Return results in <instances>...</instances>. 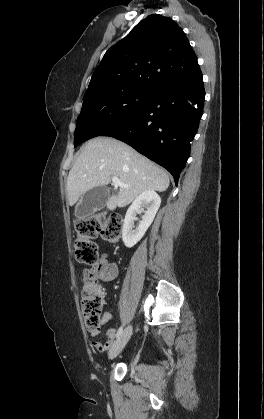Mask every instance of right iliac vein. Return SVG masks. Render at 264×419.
I'll return each mask as SVG.
<instances>
[{"label": "right iliac vein", "instance_id": "right-iliac-vein-1", "mask_svg": "<svg viewBox=\"0 0 264 419\" xmlns=\"http://www.w3.org/2000/svg\"><path fill=\"white\" fill-rule=\"evenodd\" d=\"M132 334V327L128 326L119 338L114 342L113 346L109 351V359H114L123 350Z\"/></svg>", "mask_w": 264, "mask_h": 419}]
</instances>
